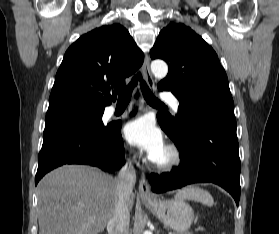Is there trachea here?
I'll return each mask as SVG.
<instances>
[{
    "label": "trachea",
    "instance_id": "trachea-1",
    "mask_svg": "<svg viewBox=\"0 0 279 234\" xmlns=\"http://www.w3.org/2000/svg\"><path fill=\"white\" fill-rule=\"evenodd\" d=\"M138 81H140L142 94L148 104L163 105V103L153 95L146 82L142 79L140 73H138L133 77L130 84L126 88L118 91V95H119L118 101L129 102L131 99L132 90L137 85Z\"/></svg>",
    "mask_w": 279,
    "mask_h": 234
}]
</instances>
